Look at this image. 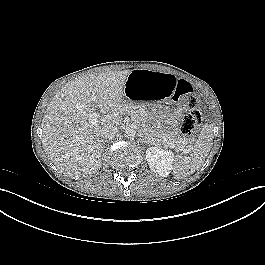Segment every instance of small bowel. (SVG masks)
<instances>
[{
  "label": "small bowel",
  "mask_w": 265,
  "mask_h": 265,
  "mask_svg": "<svg viewBox=\"0 0 265 265\" xmlns=\"http://www.w3.org/2000/svg\"><path fill=\"white\" fill-rule=\"evenodd\" d=\"M183 109H184V105L181 104V105L179 106V108L175 111V114H176V115H179Z\"/></svg>",
  "instance_id": "c3829d8e"
}]
</instances>
